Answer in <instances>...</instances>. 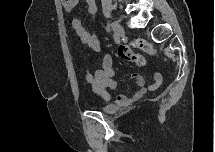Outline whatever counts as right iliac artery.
Instances as JSON below:
<instances>
[{
	"mask_svg": "<svg viewBox=\"0 0 215 152\" xmlns=\"http://www.w3.org/2000/svg\"><path fill=\"white\" fill-rule=\"evenodd\" d=\"M115 41L118 43L120 41L119 37L116 34H113Z\"/></svg>",
	"mask_w": 215,
	"mask_h": 152,
	"instance_id": "obj_1",
	"label": "right iliac artery"
}]
</instances>
